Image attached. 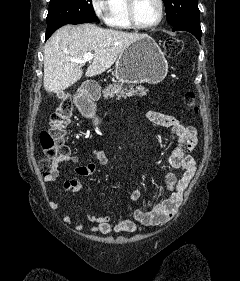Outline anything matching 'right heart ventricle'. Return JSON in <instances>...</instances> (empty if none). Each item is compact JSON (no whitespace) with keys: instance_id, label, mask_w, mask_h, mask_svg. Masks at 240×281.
<instances>
[{"instance_id":"e07e8e85","label":"right heart ventricle","mask_w":240,"mask_h":281,"mask_svg":"<svg viewBox=\"0 0 240 281\" xmlns=\"http://www.w3.org/2000/svg\"><path fill=\"white\" fill-rule=\"evenodd\" d=\"M106 23L108 26L120 30L132 28L128 19L127 0H109Z\"/></svg>"}]
</instances>
